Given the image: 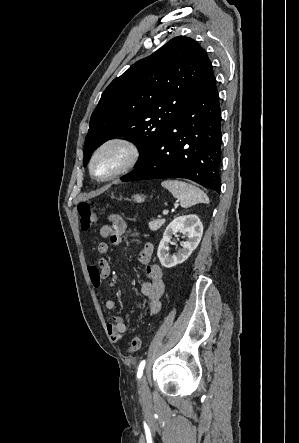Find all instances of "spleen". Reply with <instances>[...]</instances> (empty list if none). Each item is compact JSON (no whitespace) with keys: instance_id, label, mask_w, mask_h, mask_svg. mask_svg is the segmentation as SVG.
Listing matches in <instances>:
<instances>
[{"instance_id":"1","label":"spleen","mask_w":299,"mask_h":443,"mask_svg":"<svg viewBox=\"0 0 299 443\" xmlns=\"http://www.w3.org/2000/svg\"><path fill=\"white\" fill-rule=\"evenodd\" d=\"M161 185L179 200L183 208H188L198 203H209L208 196L200 188L189 183L178 180H165Z\"/></svg>"}]
</instances>
